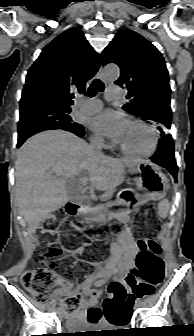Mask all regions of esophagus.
I'll list each match as a JSON object with an SVG mask.
<instances>
[{
  "label": "esophagus",
  "mask_w": 194,
  "mask_h": 336,
  "mask_svg": "<svg viewBox=\"0 0 194 336\" xmlns=\"http://www.w3.org/2000/svg\"><path fill=\"white\" fill-rule=\"evenodd\" d=\"M97 76H98L100 79L104 80V78H103V73H102V66H100V68H99V70H98V72H97Z\"/></svg>",
  "instance_id": "1"
}]
</instances>
